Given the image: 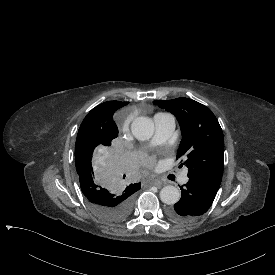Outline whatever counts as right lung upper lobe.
<instances>
[{"label":"right lung upper lobe","instance_id":"cb5924a9","mask_svg":"<svg viewBox=\"0 0 275 275\" xmlns=\"http://www.w3.org/2000/svg\"><path fill=\"white\" fill-rule=\"evenodd\" d=\"M129 102L108 101L93 108L84 118L82 125L100 131L101 134H114L118 130L113 121L114 112ZM140 183L130 184L126 189L138 191Z\"/></svg>","mask_w":275,"mask_h":275}]
</instances>
